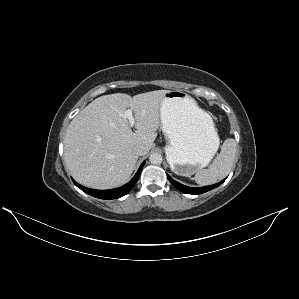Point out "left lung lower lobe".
I'll list each match as a JSON object with an SVG mask.
<instances>
[{"label":"left lung lower lobe","mask_w":299,"mask_h":299,"mask_svg":"<svg viewBox=\"0 0 299 299\" xmlns=\"http://www.w3.org/2000/svg\"><path fill=\"white\" fill-rule=\"evenodd\" d=\"M167 177H168L169 181L177 189H179L183 193H187V194H202L204 192H207L209 190H212V189L218 187L220 184H222L224 182V180H223V181H221V182H219L217 184L211 185V186H205V187H200V188H193V187H188V186H185V185H182V184L178 183L177 181L173 180L168 174H167Z\"/></svg>","instance_id":"0a47b994"}]
</instances>
